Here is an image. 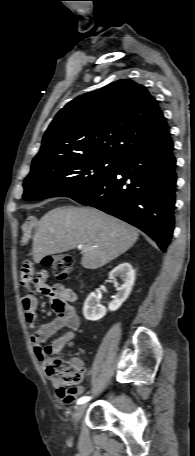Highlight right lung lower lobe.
Returning a JSON list of instances; mask_svg holds the SVG:
<instances>
[{"instance_id": "right-lung-lower-lobe-1", "label": "right lung lower lobe", "mask_w": 195, "mask_h": 456, "mask_svg": "<svg viewBox=\"0 0 195 456\" xmlns=\"http://www.w3.org/2000/svg\"><path fill=\"white\" fill-rule=\"evenodd\" d=\"M172 140L129 153L95 189L74 198L122 219L152 237L166 251L174 229L176 158Z\"/></svg>"}]
</instances>
